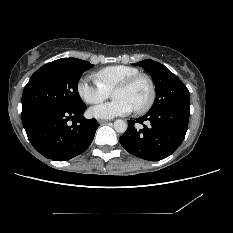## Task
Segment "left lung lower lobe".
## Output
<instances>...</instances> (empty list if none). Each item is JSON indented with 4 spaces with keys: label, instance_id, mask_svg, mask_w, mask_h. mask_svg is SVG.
<instances>
[{
    "label": "left lung lower lobe",
    "instance_id": "obj_1",
    "mask_svg": "<svg viewBox=\"0 0 233 233\" xmlns=\"http://www.w3.org/2000/svg\"><path fill=\"white\" fill-rule=\"evenodd\" d=\"M190 103L148 111L144 116L129 120L120 137L123 148L139 158L158 161L171 155L183 142L188 128ZM148 121L150 126L144 125ZM135 123L143 125L138 129Z\"/></svg>",
    "mask_w": 233,
    "mask_h": 233
}]
</instances>
